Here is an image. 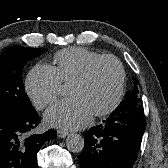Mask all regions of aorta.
I'll return each instance as SVG.
<instances>
[{
    "mask_svg": "<svg viewBox=\"0 0 168 168\" xmlns=\"http://www.w3.org/2000/svg\"><path fill=\"white\" fill-rule=\"evenodd\" d=\"M67 149L74 153H79L84 148V139L79 134H71L66 139Z\"/></svg>",
    "mask_w": 168,
    "mask_h": 168,
    "instance_id": "1",
    "label": "aorta"
}]
</instances>
